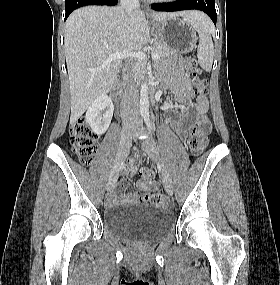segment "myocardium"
I'll list each match as a JSON object with an SVG mask.
<instances>
[{
  "label": "myocardium",
  "instance_id": "f54148a6",
  "mask_svg": "<svg viewBox=\"0 0 280 285\" xmlns=\"http://www.w3.org/2000/svg\"><path fill=\"white\" fill-rule=\"evenodd\" d=\"M153 2H156V3H170V2H173L175 0H151Z\"/></svg>",
  "mask_w": 280,
  "mask_h": 285
}]
</instances>
